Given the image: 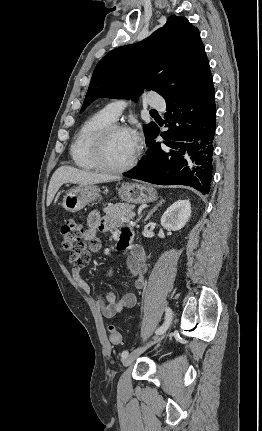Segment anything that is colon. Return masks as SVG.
<instances>
[{"label": "colon", "mask_w": 262, "mask_h": 431, "mask_svg": "<svg viewBox=\"0 0 262 431\" xmlns=\"http://www.w3.org/2000/svg\"><path fill=\"white\" fill-rule=\"evenodd\" d=\"M85 229L79 222L69 221L61 227L62 248L72 255H79L86 251L96 240L84 241ZM108 339L113 344L121 342V335L114 326L108 328Z\"/></svg>", "instance_id": "obj_1"}]
</instances>
